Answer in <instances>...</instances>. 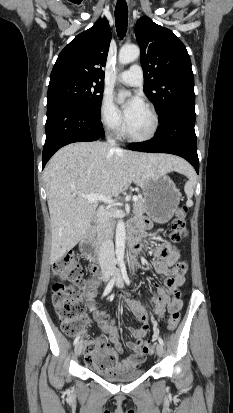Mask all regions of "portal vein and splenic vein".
Returning a JSON list of instances; mask_svg holds the SVG:
<instances>
[{
    "instance_id": "obj_1",
    "label": "portal vein and splenic vein",
    "mask_w": 233,
    "mask_h": 413,
    "mask_svg": "<svg viewBox=\"0 0 233 413\" xmlns=\"http://www.w3.org/2000/svg\"><path fill=\"white\" fill-rule=\"evenodd\" d=\"M83 198L87 199L89 202L94 201H102L107 204H113V200L111 197L102 195V194H80ZM138 196H133V201L136 202L138 200Z\"/></svg>"
}]
</instances>
